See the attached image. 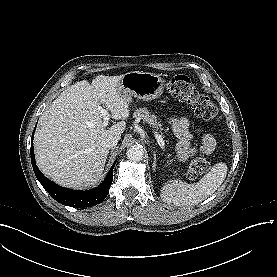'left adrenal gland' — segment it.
Wrapping results in <instances>:
<instances>
[{
	"instance_id": "left-adrenal-gland-1",
	"label": "left adrenal gland",
	"mask_w": 277,
	"mask_h": 277,
	"mask_svg": "<svg viewBox=\"0 0 277 277\" xmlns=\"http://www.w3.org/2000/svg\"><path fill=\"white\" fill-rule=\"evenodd\" d=\"M153 169L155 170V168H156V154H155V152H154V161H153Z\"/></svg>"
}]
</instances>
